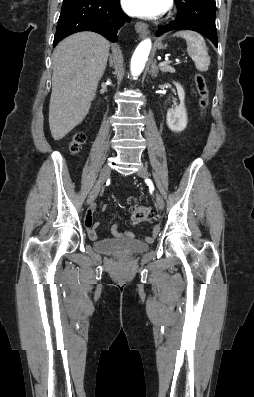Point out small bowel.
<instances>
[{
    "label": "small bowel",
    "instance_id": "c3829d8e",
    "mask_svg": "<svg viewBox=\"0 0 254 397\" xmlns=\"http://www.w3.org/2000/svg\"><path fill=\"white\" fill-rule=\"evenodd\" d=\"M95 209H96V206L95 205H91L87 209V212H86V215H85V226H86V229H87V232H88V236L92 240H96L98 238L97 228L100 225L99 222L93 220V214L95 212ZM103 210L106 211L107 210V206H104ZM111 231H112V234L115 237H118V238H120V237L132 238L133 237V233H131V232H128V231L120 232L118 230V225L117 224H114L112 226ZM158 231H159V227L156 226L154 228V231H153V237H155L157 235ZM146 239L147 240H151L152 238L151 237H147Z\"/></svg>",
    "mask_w": 254,
    "mask_h": 397
}]
</instances>
